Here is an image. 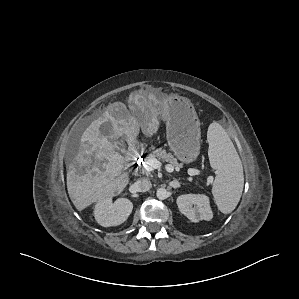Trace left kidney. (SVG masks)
<instances>
[{
  "label": "left kidney",
  "mask_w": 299,
  "mask_h": 299,
  "mask_svg": "<svg viewBox=\"0 0 299 299\" xmlns=\"http://www.w3.org/2000/svg\"><path fill=\"white\" fill-rule=\"evenodd\" d=\"M179 211L192 222L211 220L213 213L208 196L204 194H185L177 198Z\"/></svg>",
  "instance_id": "obj_1"
}]
</instances>
